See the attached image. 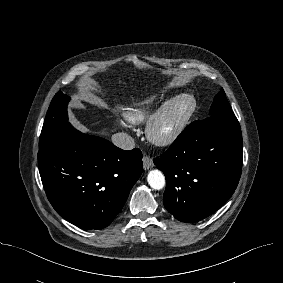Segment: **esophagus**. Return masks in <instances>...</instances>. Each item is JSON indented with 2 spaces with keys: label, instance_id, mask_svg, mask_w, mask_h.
I'll return each instance as SVG.
<instances>
[{
  "label": "esophagus",
  "instance_id": "1",
  "mask_svg": "<svg viewBox=\"0 0 283 283\" xmlns=\"http://www.w3.org/2000/svg\"><path fill=\"white\" fill-rule=\"evenodd\" d=\"M142 160H143V167L145 170H148L153 167L154 165L153 160L150 156L145 155Z\"/></svg>",
  "mask_w": 283,
  "mask_h": 283
}]
</instances>
